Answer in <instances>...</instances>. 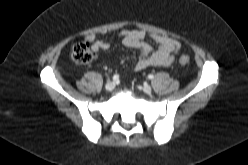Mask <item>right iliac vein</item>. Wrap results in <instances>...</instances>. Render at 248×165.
Masks as SVG:
<instances>
[{
	"instance_id": "obj_1",
	"label": "right iliac vein",
	"mask_w": 248,
	"mask_h": 165,
	"mask_svg": "<svg viewBox=\"0 0 248 165\" xmlns=\"http://www.w3.org/2000/svg\"><path fill=\"white\" fill-rule=\"evenodd\" d=\"M114 87H115V83L112 81L107 82L105 85V89L107 92L113 91Z\"/></svg>"
}]
</instances>
